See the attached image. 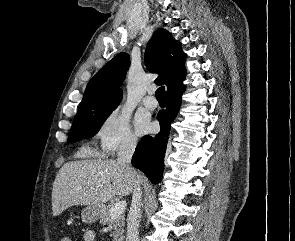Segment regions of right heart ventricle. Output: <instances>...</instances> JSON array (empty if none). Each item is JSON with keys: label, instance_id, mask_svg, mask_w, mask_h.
<instances>
[{"label": "right heart ventricle", "instance_id": "right-heart-ventricle-1", "mask_svg": "<svg viewBox=\"0 0 295 241\" xmlns=\"http://www.w3.org/2000/svg\"><path fill=\"white\" fill-rule=\"evenodd\" d=\"M85 152H86V153H91L90 150H86Z\"/></svg>", "mask_w": 295, "mask_h": 241}]
</instances>
